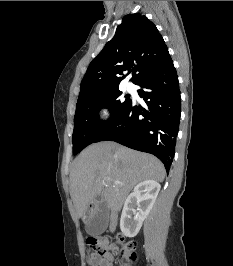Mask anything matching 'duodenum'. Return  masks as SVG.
I'll list each match as a JSON object with an SVG mask.
<instances>
[{"mask_svg":"<svg viewBox=\"0 0 233 266\" xmlns=\"http://www.w3.org/2000/svg\"><path fill=\"white\" fill-rule=\"evenodd\" d=\"M114 226H115V221L112 220V222H111V227L114 228Z\"/></svg>","mask_w":233,"mask_h":266,"instance_id":"1","label":"duodenum"}]
</instances>
